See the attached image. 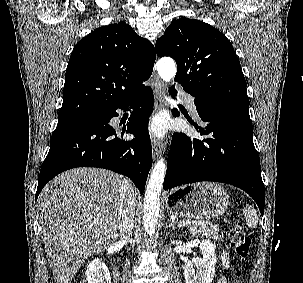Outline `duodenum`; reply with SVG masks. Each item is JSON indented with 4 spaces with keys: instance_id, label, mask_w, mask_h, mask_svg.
<instances>
[{
    "instance_id": "obj_1",
    "label": "duodenum",
    "mask_w": 303,
    "mask_h": 283,
    "mask_svg": "<svg viewBox=\"0 0 303 283\" xmlns=\"http://www.w3.org/2000/svg\"><path fill=\"white\" fill-rule=\"evenodd\" d=\"M114 273L116 276H119V268L117 265L114 266Z\"/></svg>"
}]
</instances>
